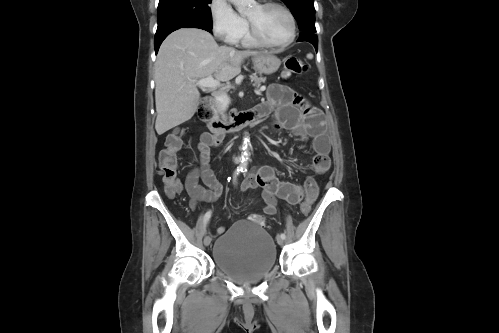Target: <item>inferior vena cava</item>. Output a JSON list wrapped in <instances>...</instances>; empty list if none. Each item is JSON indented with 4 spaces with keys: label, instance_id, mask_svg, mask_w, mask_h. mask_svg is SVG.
I'll list each match as a JSON object with an SVG mask.
<instances>
[{
    "label": "inferior vena cava",
    "instance_id": "602c4592",
    "mask_svg": "<svg viewBox=\"0 0 499 333\" xmlns=\"http://www.w3.org/2000/svg\"><path fill=\"white\" fill-rule=\"evenodd\" d=\"M212 106L217 114H221L224 117V113L229 106V97L227 93L221 91L214 95L212 99Z\"/></svg>",
    "mask_w": 499,
    "mask_h": 333
}]
</instances>
